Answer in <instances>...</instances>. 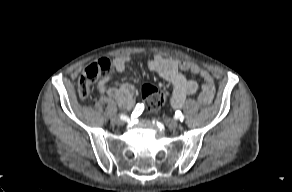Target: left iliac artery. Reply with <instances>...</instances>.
Here are the masks:
<instances>
[{
    "mask_svg": "<svg viewBox=\"0 0 292 192\" xmlns=\"http://www.w3.org/2000/svg\"><path fill=\"white\" fill-rule=\"evenodd\" d=\"M175 115L181 122L184 120V115L180 111H177Z\"/></svg>",
    "mask_w": 292,
    "mask_h": 192,
    "instance_id": "1",
    "label": "left iliac artery"
}]
</instances>
